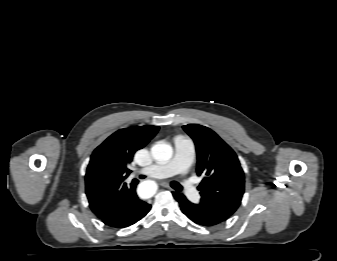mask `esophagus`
I'll list each match as a JSON object with an SVG mask.
<instances>
[{"label":"esophagus","mask_w":337,"mask_h":261,"mask_svg":"<svg viewBox=\"0 0 337 261\" xmlns=\"http://www.w3.org/2000/svg\"><path fill=\"white\" fill-rule=\"evenodd\" d=\"M162 186L165 187V188H167V189H169V190H173V189H172L168 184H166V183H163Z\"/></svg>","instance_id":"34e87169"}]
</instances>
